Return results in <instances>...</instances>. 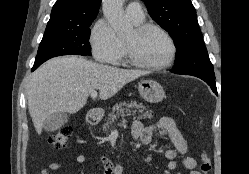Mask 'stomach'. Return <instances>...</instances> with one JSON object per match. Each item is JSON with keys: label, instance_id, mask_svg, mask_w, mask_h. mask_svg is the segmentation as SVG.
Listing matches in <instances>:
<instances>
[{"label": "stomach", "instance_id": "obj_1", "mask_svg": "<svg viewBox=\"0 0 249 174\" xmlns=\"http://www.w3.org/2000/svg\"><path fill=\"white\" fill-rule=\"evenodd\" d=\"M138 90L143 99L150 103H158L165 98L163 87L153 80L147 79L140 81ZM100 114V111L96 113L97 116H100Z\"/></svg>", "mask_w": 249, "mask_h": 174}]
</instances>
